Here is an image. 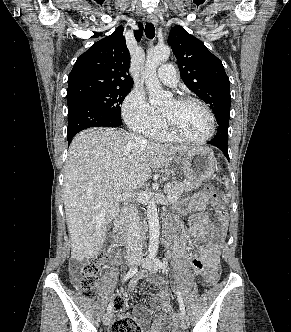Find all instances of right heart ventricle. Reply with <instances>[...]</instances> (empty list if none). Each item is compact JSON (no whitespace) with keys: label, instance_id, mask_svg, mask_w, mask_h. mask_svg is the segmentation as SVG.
I'll list each match as a JSON object with an SVG mask.
<instances>
[{"label":"right heart ventricle","instance_id":"1","mask_svg":"<svg viewBox=\"0 0 291 332\" xmlns=\"http://www.w3.org/2000/svg\"><path fill=\"white\" fill-rule=\"evenodd\" d=\"M148 137L154 140L163 141V142H175L178 141L176 138L171 136L164 126L161 124L158 128L147 133Z\"/></svg>","mask_w":291,"mask_h":332}]
</instances>
